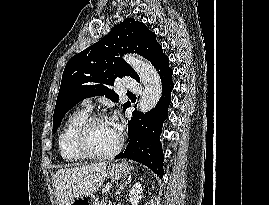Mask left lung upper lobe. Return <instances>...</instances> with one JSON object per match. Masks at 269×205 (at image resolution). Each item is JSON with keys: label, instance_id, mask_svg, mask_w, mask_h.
Returning a JSON list of instances; mask_svg holds the SVG:
<instances>
[{"label": "left lung upper lobe", "instance_id": "left-lung-upper-lobe-1", "mask_svg": "<svg viewBox=\"0 0 269 205\" xmlns=\"http://www.w3.org/2000/svg\"><path fill=\"white\" fill-rule=\"evenodd\" d=\"M137 53L154 67L165 56L155 34L142 22L125 19L97 43L73 56L65 66L53 116V133L61 119L74 105L85 98L102 96L118 101L108 86L117 77L129 75L140 81L138 74L123 59V53ZM129 107V102L123 109Z\"/></svg>", "mask_w": 269, "mask_h": 205}]
</instances>
